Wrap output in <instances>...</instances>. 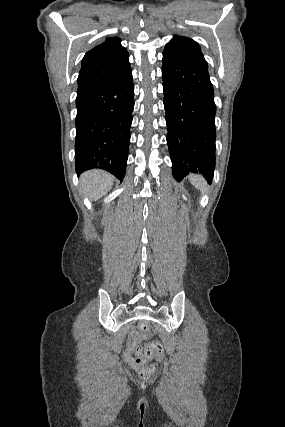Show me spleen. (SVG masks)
<instances>
[{"label": "spleen", "mask_w": 285, "mask_h": 427, "mask_svg": "<svg viewBox=\"0 0 285 427\" xmlns=\"http://www.w3.org/2000/svg\"><path fill=\"white\" fill-rule=\"evenodd\" d=\"M189 179L197 189L201 190L202 192L206 190V181L200 175H190Z\"/></svg>", "instance_id": "3e777b00"}]
</instances>
